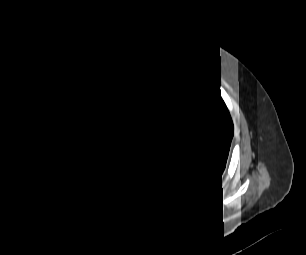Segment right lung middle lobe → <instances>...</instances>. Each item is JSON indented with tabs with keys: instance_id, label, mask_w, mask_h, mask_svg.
Here are the masks:
<instances>
[{
	"instance_id": "obj_1",
	"label": "right lung middle lobe",
	"mask_w": 306,
	"mask_h": 255,
	"mask_svg": "<svg viewBox=\"0 0 306 255\" xmlns=\"http://www.w3.org/2000/svg\"><path fill=\"white\" fill-rule=\"evenodd\" d=\"M79 141H80L81 143L84 142V141H85L84 136H81V137L79 138Z\"/></svg>"
}]
</instances>
